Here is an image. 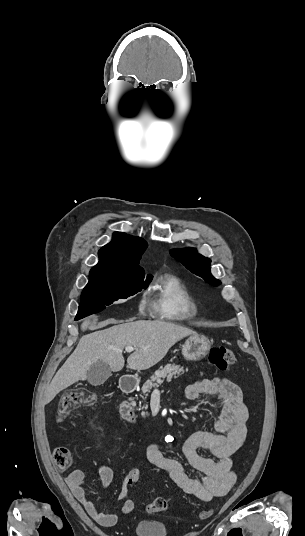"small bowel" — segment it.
<instances>
[{"label":"small bowel","instance_id":"1","mask_svg":"<svg viewBox=\"0 0 305 536\" xmlns=\"http://www.w3.org/2000/svg\"><path fill=\"white\" fill-rule=\"evenodd\" d=\"M201 395H214L223 401L221 414L217 419L209 421V429L196 428L182 441L172 436L165 437L160 442L149 444L145 454L152 465L165 472L186 494L209 502L215 497L225 496L236 482L232 456L246 439L248 410L238 385L225 378L200 379L189 385L184 392L188 401H194ZM164 450L179 451L189 465L201 473V477H190L182 463L164 455ZM198 450H203L214 458L202 456ZM98 474L102 486L107 488L113 480L112 469L102 464ZM65 480L74 497L98 525L106 528L116 525L118 516L103 513L88 497L82 470L71 471ZM126 481L125 477L117 496L123 502V514H129L135 509L134 500L127 498Z\"/></svg>","mask_w":305,"mask_h":536}]
</instances>
